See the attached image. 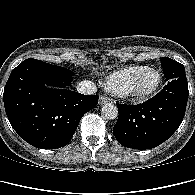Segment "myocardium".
Wrapping results in <instances>:
<instances>
[{
	"label": "myocardium",
	"instance_id": "1",
	"mask_svg": "<svg viewBox=\"0 0 195 195\" xmlns=\"http://www.w3.org/2000/svg\"><path fill=\"white\" fill-rule=\"evenodd\" d=\"M146 73H154L157 77L156 83L146 90H139L137 89V83L139 79ZM162 83V76L161 73L150 67H146L143 70H141L130 82L127 90L122 94L125 95L133 100H145L152 96L154 93L157 92V90L160 88Z\"/></svg>",
	"mask_w": 195,
	"mask_h": 195
}]
</instances>
